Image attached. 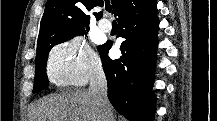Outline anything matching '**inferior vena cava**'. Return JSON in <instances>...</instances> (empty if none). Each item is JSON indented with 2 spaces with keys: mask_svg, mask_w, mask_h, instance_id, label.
I'll return each instance as SVG.
<instances>
[{
  "mask_svg": "<svg viewBox=\"0 0 217 121\" xmlns=\"http://www.w3.org/2000/svg\"><path fill=\"white\" fill-rule=\"evenodd\" d=\"M88 92L101 111L102 121H114L111 105L107 97V80L102 67H98L94 71L90 79Z\"/></svg>",
  "mask_w": 217,
  "mask_h": 121,
  "instance_id": "1",
  "label": "inferior vena cava"
}]
</instances>
